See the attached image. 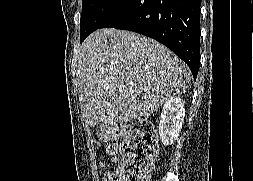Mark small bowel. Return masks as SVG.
Returning a JSON list of instances; mask_svg holds the SVG:
<instances>
[{
  "label": "small bowel",
  "mask_w": 253,
  "mask_h": 181,
  "mask_svg": "<svg viewBox=\"0 0 253 181\" xmlns=\"http://www.w3.org/2000/svg\"><path fill=\"white\" fill-rule=\"evenodd\" d=\"M114 153V150L107 149V154L112 155Z\"/></svg>",
  "instance_id": "c3829d8e"
}]
</instances>
